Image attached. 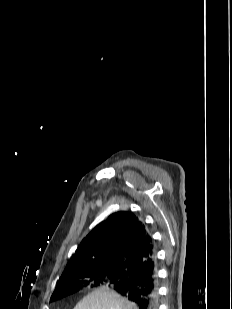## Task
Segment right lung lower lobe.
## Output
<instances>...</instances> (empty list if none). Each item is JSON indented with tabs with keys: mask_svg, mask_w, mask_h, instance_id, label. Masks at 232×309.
Returning a JSON list of instances; mask_svg holds the SVG:
<instances>
[{
	"mask_svg": "<svg viewBox=\"0 0 232 309\" xmlns=\"http://www.w3.org/2000/svg\"><path fill=\"white\" fill-rule=\"evenodd\" d=\"M127 283L114 287L122 296L134 302L139 309H158L157 263L155 255L145 259L138 267L125 271Z\"/></svg>",
	"mask_w": 232,
	"mask_h": 309,
	"instance_id": "1",
	"label": "right lung lower lobe"
}]
</instances>
